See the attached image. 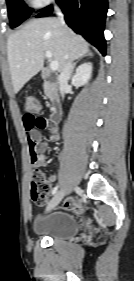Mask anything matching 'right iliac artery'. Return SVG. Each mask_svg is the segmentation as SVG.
<instances>
[{
    "label": "right iliac artery",
    "instance_id": "1",
    "mask_svg": "<svg viewBox=\"0 0 134 281\" xmlns=\"http://www.w3.org/2000/svg\"><path fill=\"white\" fill-rule=\"evenodd\" d=\"M58 190V186L54 187L53 190H52V195H54Z\"/></svg>",
    "mask_w": 134,
    "mask_h": 281
}]
</instances>
